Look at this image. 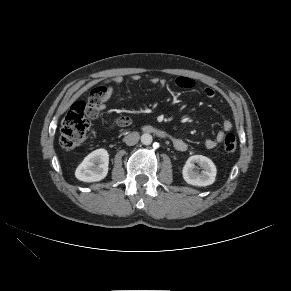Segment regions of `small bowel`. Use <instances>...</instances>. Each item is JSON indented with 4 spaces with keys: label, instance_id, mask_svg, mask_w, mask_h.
<instances>
[{
    "label": "small bowel",
    "instance_id": "c3829d8e",
    "mask_svg": "<svg viewBox=\"0 0 291 291\" xmlns=\"http://www.w3.org/2000/svg\"><path fill=\"white\" fill-rule=\"evenodd\" d=\"M131 78L133 81H139L141 77L138 74H134ZM122 82H123V77L120 75H117L103 81L100 85H98L95 89H93V90H98L100 96H99V100L95 104H91L89 107V115L91 118L93 119L96 118L100 112L106 110L107 102L109 101L113 93L112 85L121 84ZM150 82L153 84H159L161 86H164L165 84L164 80L158 77H152L150 79ZM176 84L180 88L191 89L194 87L195 82L193 79L189 77L181 76L176 79ZM203 94L207 98H213L215 96V91L211 87H205L203 89ZM117 124L119 126H127V125L121 124L120 120L117 121ZM231 128H232L231 122L228 120L224 121L223 123L224 131L219 132L214 139H207L205 141V147L207 149H214L219 143L223 142L226 132L230 131ZM172 143H173L174 148L180 152H184L188 148L186 141L181 138L174 137L172 139Z\"/></svg>",
    "mask_w": 291,
    "mask_h": 291
}]
</instances>
